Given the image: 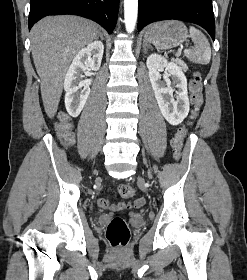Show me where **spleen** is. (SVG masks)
I'll use <instances>...</instances> for the list:
<instances>
[{"label": "spleen", "instance_id": "3e777b00", "mask_svg": "<svg viewBox=\"0 0 247 280\" xmlns=\"http://www.w3.org/2000/svg\"><path fill=\"white\" fill-rule=\"evenodd\" d=\"M190 37L194 43V49L184 50L185 56L193 63L208 64L211 59V47L206 36L193 26L189 27Z\"/></svg>", "mask_w": 247, "mask_h": 280}]
</instances>
